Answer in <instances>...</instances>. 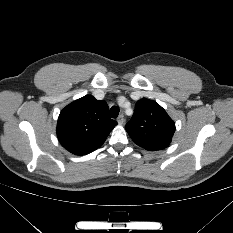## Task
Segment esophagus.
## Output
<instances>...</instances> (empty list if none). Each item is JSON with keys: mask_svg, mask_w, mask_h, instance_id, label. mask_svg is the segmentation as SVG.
Here are the masks:
<instances>
[{"mask_svg": "<svg viewBox=\"0 0 233 233\" xmlns=\"http://www.w3.org/2000/svg\"><path fill=\"white\" fill-rule=\"evenodd\" d=\"M117 122L119 125H122L124 123V116L122 114L119 115V117L117 118Z\"/></svg>", "mask_w": 233, "mask_h": 233, "instance_id": "34e87169", "label": "esophagus"}]
</instances>
